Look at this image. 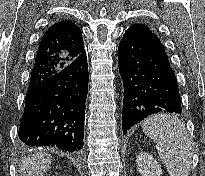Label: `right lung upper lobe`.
<instances>
[{
	"mask_svg": "<svg viewBox=\"0 0 205 176\" xmlns=\"http://www.w3.org/2000/svg\"><path fill=\"white\" fill-rule=\"evenodd\" d=\"M85 52L82 33L71 21H60L43 35L32 69L28 89L61 71Z\"/></svg>",
	"mask_w": 205,
	"mask_h": 176,
	"instance_id": "cb5924a9",
	"label": "right lung upper lobe"
}]
</instances>
